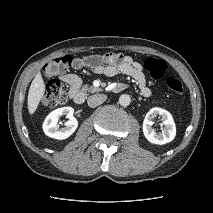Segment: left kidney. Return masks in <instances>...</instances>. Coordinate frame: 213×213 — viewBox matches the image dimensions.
Returning a JSON list of instances; mask_svg holds the SVG:
<instances>
[{"label": "left kidney", "mask_w": 213, "mask_h": 213, "mask_svg": "<svg viewBox=\"0 0 213 213\" xmlns=\"http://www.w3.org/2000/svg\"><path fill=\"white\" fill-rule=\"evenodd\" d=\"M160 115L163 121L164 129L157 133L153 128L152 118ZM143 133L145 138L153 144L163 145L171 142L176 135L175 122L172 115L165 109L154 107L146 114L143 121Z\"/></svg>", "instance_id": "left-kidney-1"}]
</instances>
